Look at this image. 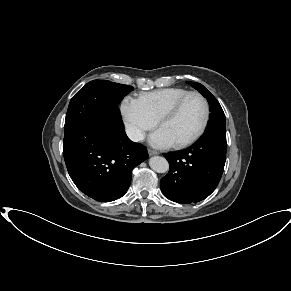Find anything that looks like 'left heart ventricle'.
Segmentation results:
<instances>
[{
	"instance_id": "left-heart-ventricle-1",
	"label": "left heart ventricle",
	"mask_w": 291,
	"mask_h": 291,
	"mask_svg": "<svg viewBox=\"0 0 291 291\" xmlns=\"http://www.w3.org/2000/svg\"><path fill=\"white\" fill-rule=\"evenodd\" d=\"M205 115V106L203 101L192 96L186 100L178 114L165 121L160 129L165 132L172 143H178L187 140L193 136L200 128Z\"/></svg>"
}]
</instances>
